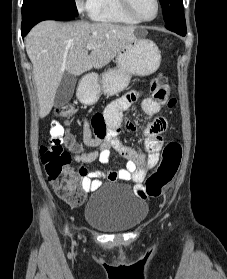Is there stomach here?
<instances>
[{
    "instance_id": "obj_1",
    "label": "stomach",
    "mask_w": 227,
    "mask_h": 279,
    "mask_svg": "<svg viewBox=\"0 0 227 279\" xmlns=\"http://www.w3.org/2000/svg\"><path fill=\"white\" fill-rule=\"evenodd\" d=\"M145 29L135 30V39L127 43L116 56V67L107 70L99 80H84L77 90L80 102L95 104L102 94L114 96L123 91L133 75L147 76L154 73L161 62L158 46L144 37Z\"/></svg>"
}]
</instances>
